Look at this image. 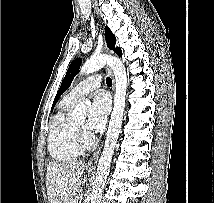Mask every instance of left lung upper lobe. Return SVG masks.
Here are the masks:
<instances>
[{
	"mask_svg": "<svg viewBox=\"0 0 214 203\" xmlns=\"http://www.w3.org/2000/svg\"><path fill=\"white\" fill-rule=\"evenodd\" d=\"M105 36H106V42H107L108 48L113 50L114 52H116L118 55L121 56L122 55L121 49L119 47H115V43H116L115 35L112 34V32L110 31V29L107 26L105 27ZM80 64H81V60L79 58L75 59L70 64V66L67 70V73L61 83V86L57 92V95L54 99L52 109L55 106L58 99L60 98V96L62 95V93H64L70 87L73 78L76 76V74L79 71Z\"/></svg>",
	"mask_w": 214,
	"mask_h": 203,
	"instance_id": "5c2ea615",
	"label": "left lung upper lobe"
}]
</instances>
